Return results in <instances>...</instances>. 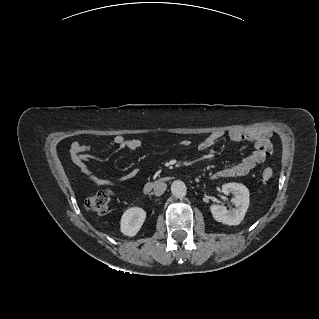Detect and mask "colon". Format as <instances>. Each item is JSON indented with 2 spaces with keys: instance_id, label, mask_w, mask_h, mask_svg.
I'll use <instances>...</instances> for the list:
<instances>
[{
  "instance_id": "obj_1",
  "label": "colon",
  "mask_w": 319,
  "mask_h": 319,
  "mask_svg": "<svg viewBox=\"0 0 319 319\" xmlns=\"http://www.w3.org/2000/svg\"><path fill=\"white\" fill-rule=\"evenodd\" d=\"M265 150L269 154L271 151V145L269 142L265 144ZM274 171L271 168H265L262 171V179L269 181L273 178ZM110 202V192L108 190H102L96 194L88 197L85 200L84 207L87 211L97 215L103 216L107 213Z\"/></svg>"
}]
</instances>
